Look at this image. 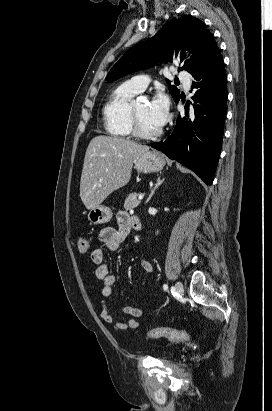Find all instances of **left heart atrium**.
I'll list each match as a JSON object with an SVG mask.
<instances>
[{
	"instance_id": "left-heart-atrium-1",
	"label": "left heart atrium",
	"mask_w": 272,
	"mask_h": 411,
	"mask_svg": "<svg viewBox=\"0 0 272 411\" xmlns=\"http://www.w3.org/2000/svg\"><path fill=\"white\" fill-rule=\"evenodd\" d=\"M168 99L164 94L156 95L148 104V115L158 127L163 126L168 117Z\"/></svg>"
}]
</instances>
